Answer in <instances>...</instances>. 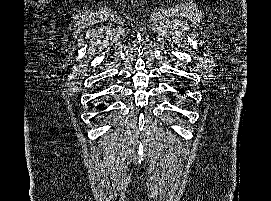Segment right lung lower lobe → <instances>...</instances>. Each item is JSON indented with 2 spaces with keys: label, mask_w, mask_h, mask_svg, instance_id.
<instances>
[{
  "label": "right lung lower lobe",
  "mask_w": 271,
  "mask_h": 201,
  "mask_svg": "<svg viewBox=\"0 0 271 201\" xmlns=\"http://www.w3.org/2000/svg\"><path fill=\"white\" fill-rule=\"evenodd\" d=\"M102 106H103V105L101 104V105L98 106V108L100 109V108H102Z\"/></svg>",
  "instance_id": "obj_1"
}]
</instances>
